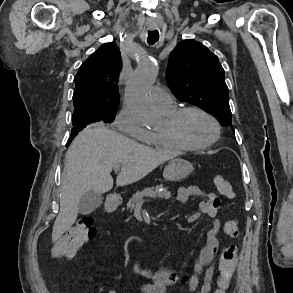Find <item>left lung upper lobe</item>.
<instances>
[{
  "instance_id": "obj_1",
  "label": "left lung upper lobe",
  "mask_w": 293,
  "mask_h": 293,
  "mask_svg": "<svg viewBox=\"0 0 293 293\" xmlns=\"http://www.w3.org/2000/svg\"><path fill=\"white\" fill-rule=\"evenodd\" d=\"M166 79L180 100L211 113L223 126L232 124L224 69L207 47L182 41L169 56Z\"/></svg>"
}]
</instances>
